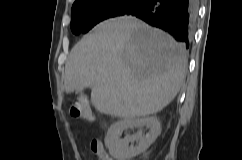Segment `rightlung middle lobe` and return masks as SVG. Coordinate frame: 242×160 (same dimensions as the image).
Masks as SVG:
<instances>
[{"label": "right lung middle lobe", "instance_id": "obj_1", "mask_svg": "<svg viewBox=\"0 0 242 160\" xmlns=\"http://www.w3.org/2000/svg\"><path fill=\"white\" fill-rule=\"evenodd\" d=\"M143 0H82L72 6L71 30L86 33L97 23L124 15Z\"/></svg>", "mask_w": 242, "mask_h": 160}]
</instances>
